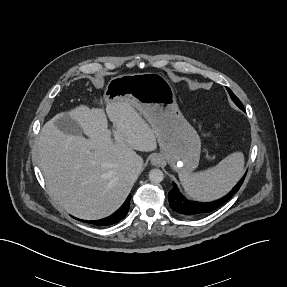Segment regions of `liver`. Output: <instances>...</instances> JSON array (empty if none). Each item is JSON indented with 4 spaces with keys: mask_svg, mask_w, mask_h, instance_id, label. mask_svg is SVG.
<instances>
[{
    "mask_svg": "<svg viewBox=\"0 0 287 287\" xmlns=\"http://www.w3.org/2000/svg\"><path fill=\"white\" fill-rule=\"evenodd\" d=\"M106 114L121 142L111 139ZM106 114L79 105L53 117L39 136L38 164L50 194L81 219L97 220L115 212L140 173L131 167L138 157L135 150L157 148L154 130L130 103L107 102ZM63 116L77 121L88 138L60 131L55 121Z\"/></svg>",
    "mask_w": 287,
    "mask_h": 287,
    "instance_id": "liver-1",
    "label": "liver"
}]
</instances>
